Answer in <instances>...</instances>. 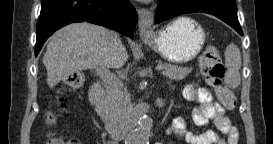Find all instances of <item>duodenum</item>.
<instances>
[{
  "label": "duodenum",
  "mask_w": 273,
  "mask_h": 144,
  "mask_svg": "<svg viewBox=\"0 0 273 144\" xmlns=\"http://www.w3.org/2000/svg\"><path fill=\"white\" fill-rule=\"evenodd\" d=\"M89 100L92 109L96 114H102L104 111V90L101 84L96 83L92 86L89 93ZM164 104L162 99H158L156 107H160ZM148 114L146 106H139L130 115V117L121 124H108L104 130L109 138L113 141H121L128 133L129 129L139 124L145 115Z\"/></svg>",
  "instance_id": "410a0bca"
}]
</instances>
